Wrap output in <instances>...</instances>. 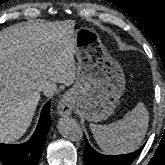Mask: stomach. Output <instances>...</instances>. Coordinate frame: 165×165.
Listing matches in <instances>:
<instances>
[{"instance_id": "0dacf381", "label": "stomach", "mask_w": 165, "mask_h": 165, "mask_svg": "<svg viewBox=\"0 0 165 165\" xmlns=\"http://www.w3.org/2000/svg\"><path fill=\"white\" fill-rule=\"evenodd\" d=\"M78 33L79 31H76V39ZM89 37V33H83L80 39L85 41ZM79 51L85 52L83 58H88L90 63L85 64L79 56L82 73L77 78L72 91L80 113L90 121L99 122L113 114L125 88V77L119 63L103 49L102 60H97L96 63L92 62L94 55L89 53L96 51L91 46L89 49L79 47Z\"/></svg>"}]
</instances>
